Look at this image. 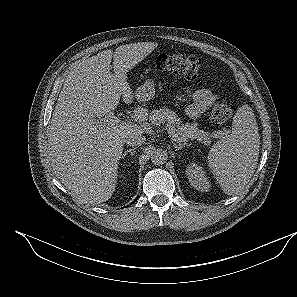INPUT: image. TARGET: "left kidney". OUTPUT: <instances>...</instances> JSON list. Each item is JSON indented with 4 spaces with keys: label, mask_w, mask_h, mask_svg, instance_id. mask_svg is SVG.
<instances>
[{
    "label": "left kidney",
    "mask_w": 297,
    "mask_h": 297,
    "mask_svg": "<svg viewBox=\"0 0 297 297\" xmlns=\"http://www.w3.org/2000/svg\"><path fill=\"white\" fill-rule=\"evenodd\" d=\"M186 175L192 187L201 192L209 191L211 185L202 167L191 163L187 166Z\"/></svg>",
    "instance_id": "obj_1"
}]
</instances>
